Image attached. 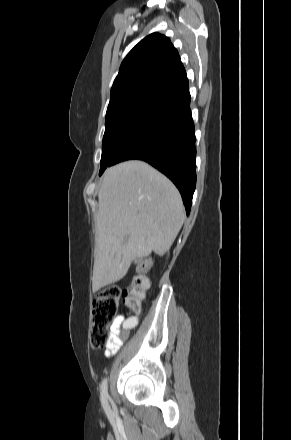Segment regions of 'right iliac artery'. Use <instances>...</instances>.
<instances>
[{
	"label": "right iliac artery",
	"instance_id": "right-iliac-artery-1",
	"mask_svg": "<svg viewBox=\"0 0 291 440\" xmlns=\"http://www.w3.org/2000/svg\"><path fill=\"white\" fill-rule=\"evenodd\" d=\"M108 385H107V378H105L102 381L101 387H100V391H101V401H102V405L103 408L105 410L106 413H110V408L107 402L108 399Z\"/></svg>",
	"mask_w": 291,
	"mask_h": 440
}]
</instances>
